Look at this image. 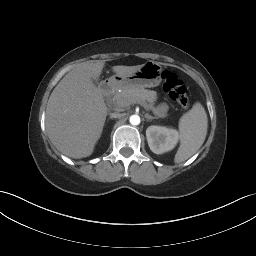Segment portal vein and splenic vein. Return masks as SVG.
<instances>
[{"instance_id":"obj_1","label":"portal vein and splenic vein","mask_w":256,"mask_h":256,"mask_svg":"<svg viewBox=\"0 0 256 256\" xmlns=\"http://www.w3.org/2000/svg\"><path fill=\"white\" fill-rule=\"evenodd\" d=\"M145 109H146V106L145 105H143V104H141Z\"/></svg>"}]
</instances>
